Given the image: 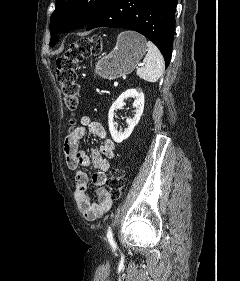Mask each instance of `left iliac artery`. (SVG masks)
<instances>
[{
	"label": "left iliac artery",
	"mask_w": 240,
	"mask_h": 281,
	"mask_svg": "<svg viewBox=\"0 0 240 281\" xmlns=\"http://www.w3.org/2000/svg\"><path fill=\"white\" fill-rule=\"evenodd\" d=\"M107 238H108V241L110 242L111 246L115 249L116 244H115V241L113 239V233H112L111 227L108 228Z\"/></svg>",
	"instance_id": "44dca946"
}]
</instances>
